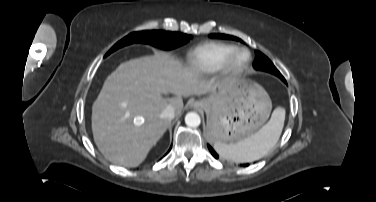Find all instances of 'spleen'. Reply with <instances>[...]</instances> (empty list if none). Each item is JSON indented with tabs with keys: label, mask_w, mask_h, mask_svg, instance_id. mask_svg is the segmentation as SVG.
Masks as SVG:
<instances>
[{
	"label": "spleen",
	"mask_w": 376,
	"mask_h": 202,
	"mask_svg": "<svg viewBox=\"0 0 376 202\" xmlns=\"http://www.w3.org/2000/svg\"><path fill=\"white\" fill-rule=\"evenodd\" d=\"M285 120V109L276 108L271 119L255 134L238 141L225 144L215 142L216 152L231 161L237 163L253 162L264 157L277 143Z\"/></svg>",
	"instance_id": "3e777b00"
}]
</instances>
